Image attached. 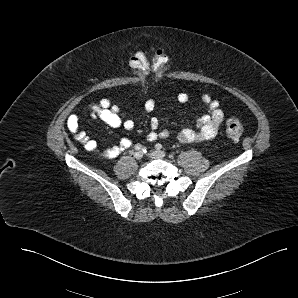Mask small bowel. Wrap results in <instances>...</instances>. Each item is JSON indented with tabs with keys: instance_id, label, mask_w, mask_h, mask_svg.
I'll return each instance as SVG.
<instances>
[{
	"instance_id": "small-bowel-1",
	"label": "small bowel",
	"mask_w": 298,
	"mask_h": 298,
	"mask_svg": "<svg viewBox=\"0 0 298 298\" xmlns=\"http://www.w3.org/2000/svg\"><path fill=\"white\" fill-rule=\"evenodd\" d=\"M176 99L180 103H185L189 100V95L181 92L176 96ZM201 100L207 107L208 112L197 118V129L184 128L178 133L179 141L184 144H194L214 139L224 120V111L218 100L213 99L208 94H204ZM155 106L156 103L153 99H148L144 103V109L147 112L154 111ZM88 109L93 119L101 120L110 127L123 128L127 131H131L134 128V122L131 119H126L120 108L108 99H101L98 103L89 105ZM67 125L75 140L80 142L87 151L98 152L102 157L107 159L118 157L125 150L129 149L132 144L129 138L124 137L117 145L100 150L93 138L79 130V117L77 114L69 116ZM158 128V119L155 117L151 118L150 131L146 135L147 141H155L158 138H169L170 133L168 130L158 131Z\"/></svg>"
}]
</instances>
